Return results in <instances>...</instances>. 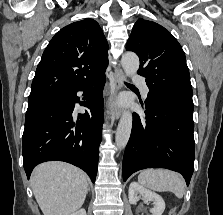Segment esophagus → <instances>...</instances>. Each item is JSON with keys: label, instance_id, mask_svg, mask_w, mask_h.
I'll return each mask as SVG.
<instances>
[{"label": "esophagus", "instance_id": "esophagus-1", "mask_svg": "<svg viewBox=\"0 0 223 215\" xmlns=\"http://www.w3.org/2000/svg\"><path fill=\"white\" fill-rule=\"evenodd\" d=\"M124 72L121 69H115L114 81H115V90L112 91L109 100H108V114L114 119H119L122 110L117 104V92L122 89L124 81Z\"/></svg>", "mask_w": 223, "mask_h": 215}]
</instances>
